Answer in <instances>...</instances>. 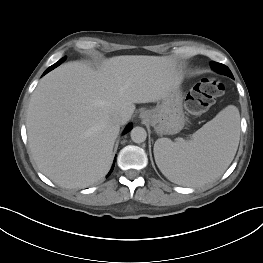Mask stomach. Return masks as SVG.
Masks as SVG:
<instances>
[{
	"instance_id": "0dacf381",
	"label": "stomach",
	"mask_w": 263,
	"mask_h": 263,
	"mask_svg": "<svg viewBox=\"0 0 263 263\" xmlns=\"http://www.w3.org/2000/svg\"><path fill=\"white\" fill-rule=\"evenodd\" d=\"M182 92L179 88L173 90L154 109L149 110L147 122L159 135H173L180 132L185 125L182 107Z\"/></svg>"
}]
</instances>
